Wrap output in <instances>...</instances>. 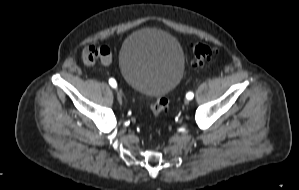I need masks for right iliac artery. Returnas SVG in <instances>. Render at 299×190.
I'll list each match as a JSON object with an SVG mask.
<instances>
[{
    "label": "right iliac artery",
    "mask_w": 299,
    "mask_h": 190,
    "mask_svg": "<svg viewBox=\"0 0 299 190\" xmlns=\"http://www.w3.org/2000/svg\"><path fill=\"white\" fill-rule=\"evenodd\" d=\"M109 84H110L113 88H116V87H117V83H116L115 79H113V78H110V79H109Z\"/></svg>",
    "instance_id": "right-iliac-artery-1"
}]
</instances>
